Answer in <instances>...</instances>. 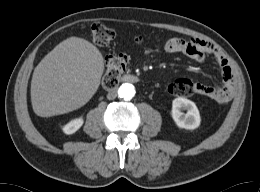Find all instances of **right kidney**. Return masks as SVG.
I'll return each mask as SVG.
<instances>
[{"label": "right kidney", "mask_w": 260, "mask_h": 192, "mask_svg": "<svg viewBox=\"0 0 260 192\" xmlns=\"http://www.w3.org/2000/svg\"><path fill=\"white\" fill-rule=\"evenodd\" d=\"M83 123L84 120L81 117L73 119L63 127V132L68 135L73 134L83 125Z\"/></svg>", "instance_id": "ca27d5eb"}]
</instances>
